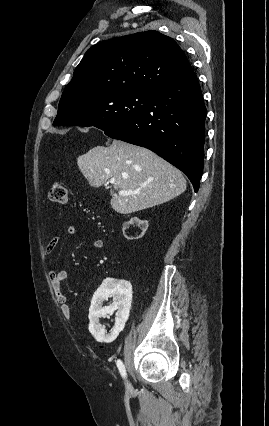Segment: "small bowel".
I'll return each mask as SVG.
<instances>
[{
  "label": "small bowel",
  "mask_w": 269,
  "mask_h": 426,
  "mask_svg": "<svg viewBox=\"0 0 269 426\" xmlns=\"http://www.w3.org/2000/svg\"><path fill=\"white\" fill-rule=\"evenodd\" d=\"M67 233L69 235H74L76 233V228L73 225H69L67 227ZM60 237L55 236L53 237L48 244L45 247V254H50L59 244ZM91 247L93 249L99 250L103 247V241L101 239H93L91 241ZM69 276V269L64 268L57 270L55 268H51L48 277L51 284V287L54 291L56 302L58 303L60 307V311L64 317H70L71 316V310L70 306L68 304V298L62 291V282L66 280Z\"/></svg>",
  "instance_id": "1"
}]
</instances>
